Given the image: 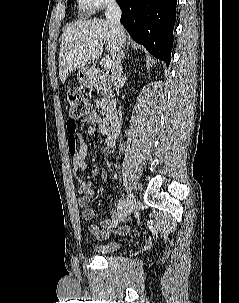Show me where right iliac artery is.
I'll return each mask as SVG.
<instances>
[{"mask_svg":"<svg viewBox=\"0 0 239 303\" xmlns=\"http://www.w3.org/2000/svg\"><path fill=\"white\" fill-rule=\"evenodd\" d=\"M123 205H124V201L123 200H119L117 209L118 210L122 209Z\"/></svg>","mask_w":239,"mask_h":303,"instance_id":"obj_1","label":"right iliac artery"}]
</instances>
